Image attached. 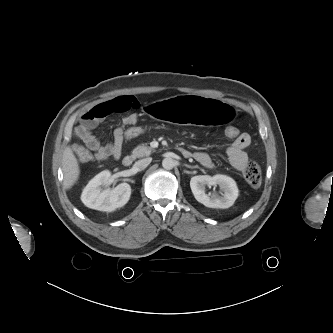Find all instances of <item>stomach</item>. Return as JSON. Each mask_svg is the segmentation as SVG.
<instances>
[{
    "label": "stomach",
    "mask_w": 333,
    "mask_h": 333,
    "mask_svg": "<svg viewBox=\"0 0 333 333\" xmlns=\"http://www.w3.org/2000/svg\"><path fill=\"white\" fill-rule=\"evenodd\" d=\"M145 116L162 123L187 126L198 125L228 127L237 118L235 107L222 100H216L203 94L171 95L169 97L151 99L143 107Z\"/></svg>",
    "instance_id": "obj_1"
}]
</instances>
